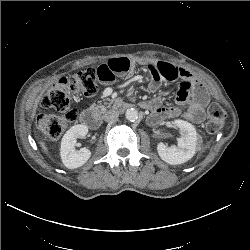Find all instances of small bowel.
<instances>
[{"mask_svg":"<svg viewBox=\"0 0 250 250\" xmlns=\"http://www.w3.org/2000/svg\"><path fill=\"white\" fill-rule=\"evenodd\" d=\"M134 68V61L122 57L110 59L101 64L96 70L99 81L103 85H109L117 76H131ZM148 68L152 75L148 89L152 93L159 91L163 80L181 81L174 105L163 106L160 96L142 103V106L153 109L150 117L151 122L174 118L181 114L187 120L194 123L203 121L204 107L208 102L207 91L203 84L190 71L166 62L149 64Z\"/></svg>","mask_w":250,"mask_h":250,"instance_id":"small-bowel-1","label":"small bowel"}]
</instances>
